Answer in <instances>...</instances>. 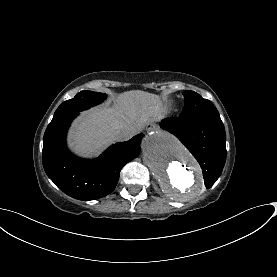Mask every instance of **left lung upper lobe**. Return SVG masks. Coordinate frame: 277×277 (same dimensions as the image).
Listing matches in <instances>:
<instances>
[{
	"label": "left lung upper lobe",
	"instance_id": "5c2ea615",
	"mask_svg": "<svg viewBox=\"0 0 277 277\" xmlns=\"http://www.w3.org/2000/svg\"><path fill=\"white\" fill-rule=\"evenodd\" d=\"M185 107L180 114L183 119H196L204 117H218L220 115L215 106L207 99L202 98L198 93L187 90L184 92Z\"/></svg>",
	"mask_w": 277,
	"mask_h": 277
}]
</instances>
